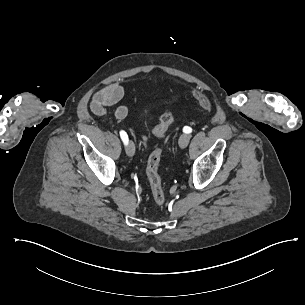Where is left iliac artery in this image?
Instances as JSON below:
<instances>
[{"label": "left iliac artery", "mask_w": 305, "mask_h": 305, "mask_svg": "<svg viewBox=\"0 0 305 305\" xmlns=\"http://www.w3.org/2000/svg\"><path fill=\"white\" fill-rule=\"evenodd\" d=\"M183 132H185V133H191V132H192V129H191L190 127H188V126H185V127L183 128Z\"/></svg>", "instance_id": "obj_1"}]
</instances>
